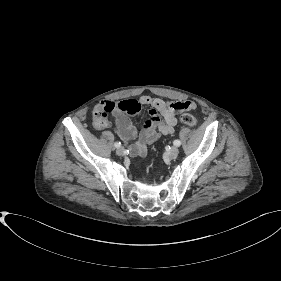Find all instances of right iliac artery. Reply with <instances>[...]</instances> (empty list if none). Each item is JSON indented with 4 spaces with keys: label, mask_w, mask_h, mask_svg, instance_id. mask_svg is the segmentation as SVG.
<instances>
[{
    "label": "right iliac artery",
    "mask_w": 281,
    "mask_h": 281,
    "mask_svg": "<svg viewBox=\"0 0 281 281\" xmlns=\"http://www.w3.org/2000/svg\"><path fill=\"white\" fill-rule=\"evenodd\" d=\"M114 146H115L116 148H119V147L121 146V143H120V142H115Z\"/></svg>",
    "instance_id": "obj_1"
}]
</instances>
